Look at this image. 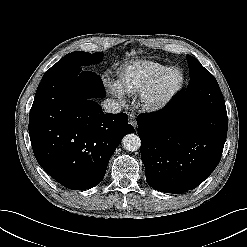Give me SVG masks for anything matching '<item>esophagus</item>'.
I'll use <instances>...</instances> for the list:
<instances>
[{
    "label": "esophagus",
    "mask_w": 247,
    "mask_h": 247,
    "mask_svg": "<svg viewBox=\"0 0 247 247\" xmlns=\"http://www.w3.org/2000/svg\"><path fill=\"white\" fill-rule=\"evenodd\" d=\"M128 116H129L130 124L134 127V129H136L137 124H136L135 115L133 113H129Z\"/></svg>",
    "instance_id": "34e87169"
}]
</instances>
